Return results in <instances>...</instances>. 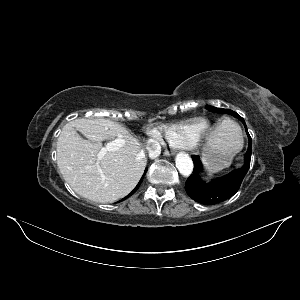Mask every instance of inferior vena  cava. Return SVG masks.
<instances>
[{
  "label": "inferior vena cava",
  "mask_w": 300,
  "mask_h": 300,
  "mask_svg": "<svg viewBox=\"0 0 300 300\" xmlns=\"http://www.w3.org/2000/svg\"><path fill=\"white\" fill-rule=\"evenodd\" d=\"M146 149H147L148 153L150 154L151 158H156L161 153V147H160L159 143L155 142V141L148 142ZM139 156L144 157L145 156L144 152L141 151Z\"/></svg>",
  "instance_id": "inferior-vena-cava-1"
}]
</instances>
